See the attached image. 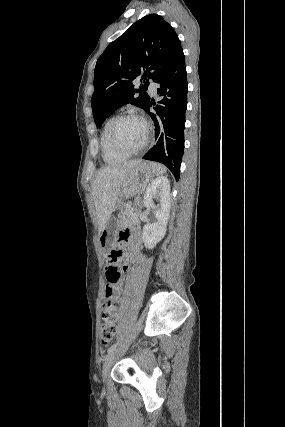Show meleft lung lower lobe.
I'll use <instances>...</instances> for the list:
<instances>
[{"label": "left lung lower lobe", "mask_w": 285, "mask_h": 427, "mask_svg": "<svg viewBox=\"0 0 285 427\" xmlns=\"http://www.w3.org/2000/svg\"><path fill=\"white\" fill-rule=\"evenodd\" d=\"M161 105L150 112L149 102L146 112L155 125V145L142 158L166 165L178 181L184 152L185 112L187 108L188 83L186 78L183 50L177 55L171 67L156 82Z\"/></svg>", "instance_id": "left-lung-lower-lobe-1"}]
</instances>
